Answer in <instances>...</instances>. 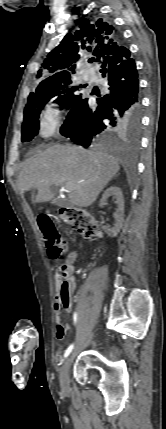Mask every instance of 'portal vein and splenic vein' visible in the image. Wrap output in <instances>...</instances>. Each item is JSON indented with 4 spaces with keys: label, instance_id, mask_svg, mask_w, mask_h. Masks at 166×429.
<instances>
[{
    "label": "portal vein and splenic vein",
    "instance_id": "1",
    "mask_svg": "<svg viewBox=\"0 0 166 429\" xmlns=\"http://www.w3.org/2000/svg\"><path fill=\"white\" fill-rule=\"evenodd\" d=\"M65 188L69 190V189H72V188H73V186H72V184H70V183H66V184H65Z\"/></svg>",
    "mask_w": 166,
    "mask_h": 429
}]
</instances>
